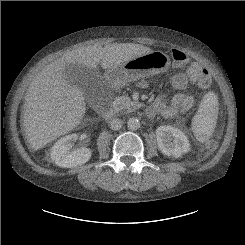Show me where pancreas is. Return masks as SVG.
Masks as SVG:
<instances>
[{
  "label": "pancreas",
  "instance_id": "1",
  "mask_svg": "<svg viewBox=\"0 0 245 245\" xmlns=\"http://www.w3.org/2000/svg\"><path fill=\"white\" fill-rule=\"evenodd\" d=\"M114 107L116 111L126 110L127 112H132L136 110L139 105L136 102L131 101L127 96H120L115 99Z\"/></svg>",
  "mask_w": 245,
  "mask_h": 245
}]
</instances>
